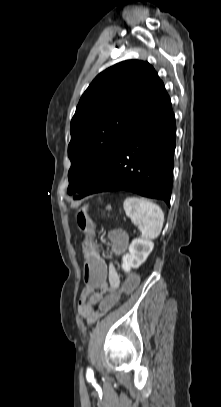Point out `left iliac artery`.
<instances>
[{
  "instance_id": "1",
  "label": "left iliac artery",
  "mask_w": 221,
  "mask_h": 407,
  "mask_svg": "<svg viewBox=\"0 0 221 407\" xmlns=\"http://www.w3.org/2000/svg\"><path fill=\"white\" fill-rule=\"evenodd\" d=\"M87 377H93V371L91 369H88Z\"/></svg>"
}]
</instances>
